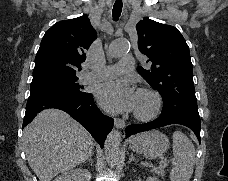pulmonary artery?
Segmentation results:
<instances>
[{"label":"pulmonary artery","instance_id":"1","mask_svg":"<svg viewBox=\"0 0 228 181\" xmlns=\"http://www.w3.org/2000/svg\"><path fill=\"white\" fill-rule=\"evenodd\" d=\"M132 61H133L132 57L120 58L121 65H113V67L107 66L101 71V74H91L90 78L91 79H112L113 78L112 74H114L118 70L134 71L135 67Z\"/></svg>","mask_w":228,"mask_h":181}]
</instances>
